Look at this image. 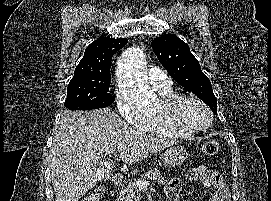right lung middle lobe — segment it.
I'll list each match as a JSON object with an SVG mask.
<instances>
[{
	"mask_svg": "<svg viewBox=\"0 0 271 201\" xmlns=\"http://www.w3.org/2000/svg\"><path fill=\"white\" fill-rule=\"evenodd\" d=\"M111 74L74 75L68 84L65 106L70 110H92L109 106Z\"/></svg>",
	"mask_w": 271,
	"mask_h": 201,
	"instance_id": "1",
	"label": "right lung middle lobe"
}]
</instances>
